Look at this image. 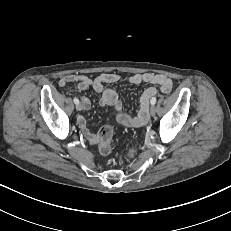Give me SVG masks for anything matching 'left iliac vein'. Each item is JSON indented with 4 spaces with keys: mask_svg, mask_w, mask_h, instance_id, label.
Wrapping results in <instances>:
<instances>
[{
    "mask_svg": "<svg viewBox=\"0 0 231 231\" xmlns=\"http://www.w3.org/2000/svg\"><path fill=\"white\" fill-rule=\"evenodd\" d=\"M155 113H156V108H155L154 105H152L151 108H150V114H151V116H154Z\"/></svg>",
    "mask_w": 231,
    "mask_h": 231,
    "instance_id": "4c4485c4",
    "label": "left iliac vein"
}]
</instances>
